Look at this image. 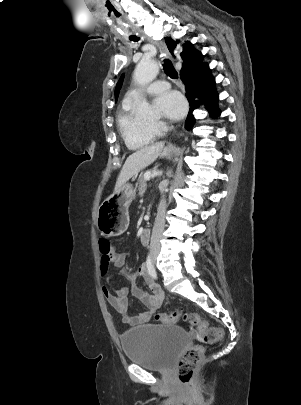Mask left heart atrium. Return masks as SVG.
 I'll return each mask as SVG.
<instances>
[{
  "mask_svg": "<svg viewBox=\"0 0 301 405\" xmlns=\"http://www.w3.org/2000/svg\"><path fill=\"white\" fill-rule=\"evenodd\" d=\"M154 104L163 117L171 120L182 118L187 108L183 96L176 91H169L159 95Z\"/></svg>",
  "mask_w": 301,
  "mask_h": 405,
  "instance_id": "obj_1",
  "label": "left heart atrium"
}]
</instances>
